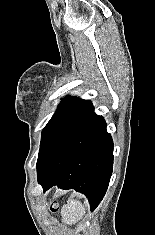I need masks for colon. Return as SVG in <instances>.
I'll use <instances>...</instances> for the list:
<instances>
[{"instance_id": "obj_1", "label": "colon", "mask_w": 155, "mask_h": 235, "mask_svg": "<svg viewBox=\"0 0 155 235\" xmlns=\"http://www.w3.org/2000/svg\"><path fill=\"white\" fill-rule=\"evenodd\" d=\"M51 209H52L53 211H55V210H56V205H53V206L51 207Z\"/></svg>"}]
</instances>
